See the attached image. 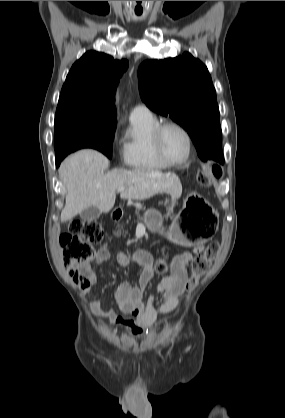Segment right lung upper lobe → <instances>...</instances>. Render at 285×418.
<instances>
[{"instance_id": "obj_1", "label": "right lung upper lobe", "mask_w": 285, "mask_h": 418, "mask_svg": "<svg viewBox=\"0 0 285 418\" xmlns=\"http://www.w3.org/2000/svg\"><path fill=\"white\" fill-rule=\"evenodd\" d=\"M128 68L125 59L89 51L76 61L62 87L57 109L79 108L116 118L113 105L119 79Z\"/></svg>"}]
</instances>
